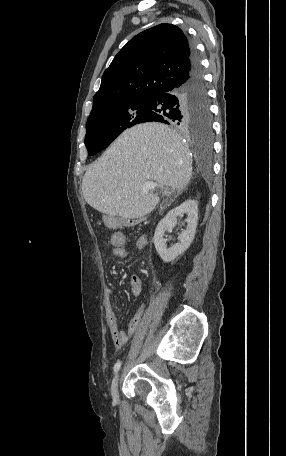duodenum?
<instances>
[{"instance_id": "1", "label": "duodenum", "mask_w": 286, "mask_h": 456, "mask_svg": "<svg viewBox=\"0 0 286 456\" xmlns=\"http://www.w3.org/2000/svg\"><path fill=\"white\" fill-rule=\"evenodd\" d=\"M120 224L126 225V226H134L136 224V219L130 218V219H124V218H119Z\"/></svg>"}]
</instances>
